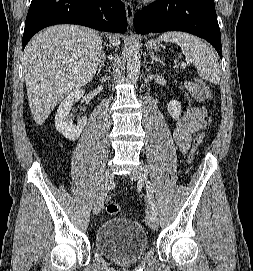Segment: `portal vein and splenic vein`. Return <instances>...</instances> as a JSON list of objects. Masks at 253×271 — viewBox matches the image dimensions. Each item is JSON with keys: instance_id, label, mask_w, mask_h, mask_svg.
I'll return each instance as SVG.
<instances>
[{"instance_id": "1", "label": "portal vein and splenic vein", "mask_w": 253, "mask_h": 271, "mask_svg": "<svg viewBox=\"0 0 253 271\" xmlns=\"http://www.w3.org/2000/svg\"><path fill=\"white\" fill-rule=\"evenodd\" d=\"M181 67L185 68V67H186V64H185V63H182V64H181Z\"/></svg>"}]
</instances>
